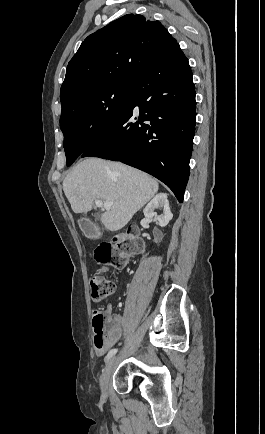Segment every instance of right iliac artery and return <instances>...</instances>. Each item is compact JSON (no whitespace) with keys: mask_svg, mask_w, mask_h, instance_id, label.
I'll list each match as a JSON object with an SVG mask.
<instances>
[{"mask_svg":"<svg viewBox=\"0 0 265 434\" xmlns=\"http://www.w3.org/2000/svg\"><path fill=\"white\" fill-rule=\"evenodd\" d=\"M117 351H118V349H116V348L111 349L108 352L107 356L105 357V362H108L111 359V357L114 356L117 353Z\"/></svg>","mask_w":265,"mask_h":434,"instance_id":"right-iliac-artery-1","label":"right iliac artery"}]
</instances>
